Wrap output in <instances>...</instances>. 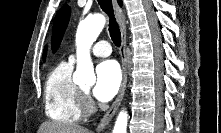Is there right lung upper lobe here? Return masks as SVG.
<instances>
[{
    "instance_id": "obj_1",
    "label": "right lung upper lobe",
    "mask_w": 221,
    "mask_h": 133,
    "mask_svg": "<svg viewBox=\"0 0 221 133\" xmlns=\"http://www.w3.org/2000/svg\"><path fill=\"white\" fill-rule=\"evenodd\" d=\"M118 3H119L120 6L122 5V1L121 0H118ZM44 56H45V52H44Z\"/></svg>"
}]
</instances>
